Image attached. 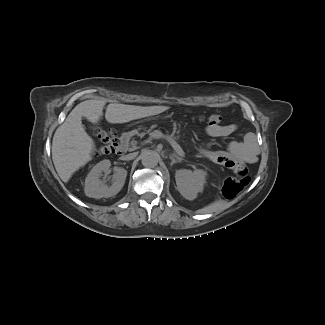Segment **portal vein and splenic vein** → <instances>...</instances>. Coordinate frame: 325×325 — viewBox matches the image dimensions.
<instances>
[{"instance_id":"18ae733b","label":"portal vein and splenic vein","mask_w":325,"mask_h":325,"mask_svg":"<svg viewBox=\"0 0 325 325\" xmlns=\"http://www.w3.org/2000/svg\"><path fill=\"white\" fill-rule=\"evenodd\" d=\"M170 143L172 144V146H173L174 148H177V151H178V153H179L181 156L184 155L183 150H182L181 147L176 143V141H174L173 139H171V140H170Z\"/></svg>"}]
</instances>
